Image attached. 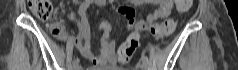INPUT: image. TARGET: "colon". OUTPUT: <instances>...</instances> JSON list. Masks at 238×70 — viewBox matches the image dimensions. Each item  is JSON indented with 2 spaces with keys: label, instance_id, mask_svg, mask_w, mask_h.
I'll return each mask as SVG.
<instances>
[{
  "label": "colon",
  "instance_id": "1",
  "mask_svg": "<svg viewBox=\"0 0 238 70\" xmlns=\"http://www.w3.org/2000/svg\"><path fill=\"white\" fill-rule=\"evenodd\" d=\"M174 7L176 12H189V7L192 4V0H174ZM29 8L31 12L39 19L46 20L52 14V3L50 0H29ZM144 29L155 36H165L170 34L175 28V22L168 20L166 22L156 21V19H145ZM53 33H59V29L54 28ZM140 40L139 31L134 33H128L125 37V42H120L118 46L117 59H121V62H127Z\"/></svg>",
  "mask_w": 238,
  "mask_h": 70
}]
</instances>
